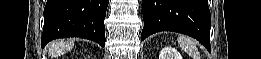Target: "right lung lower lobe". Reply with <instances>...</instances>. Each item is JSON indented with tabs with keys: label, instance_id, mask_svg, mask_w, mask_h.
Masks as SVG:
<instances>
[{
	"label": "right lung lower lobe",
	"instance_id": "1",
	"mask_svg": "<svg viewBox=\"0 0 261 59\" xmlns=\"http://www.w3.org/2000/svg\"><path fill=\"white\" fill-rule=\"evenodd\" d=\"M109 0H47L41 45L81 37L105 46L104 19Z\"/></svg>",
	"mask_w": 261,
	"mask_h": 59
}]
</instances>
